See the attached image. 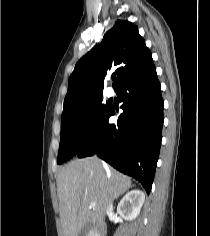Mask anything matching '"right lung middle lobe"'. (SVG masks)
Here are the masks:
<instances>
[{
    "label": "right lung middle lobe",
    "mask_w": 210,
    "mask_h": 236,
    "mask_svg": "<svg viewBox=\"0 0 210 236\" xmlns=\"http://www.w3.org/2000/svg\"><path fill=\"white\" fill-rule=\"evenodd\" d=\"M102 100L103 96H99L62 113L58 164L75 156L95 133L110 109Z\"/></svg>",
    "instance_id": "right-lung-middle-lobe-1"
}]
</instances>
